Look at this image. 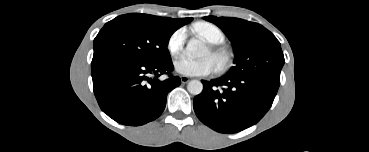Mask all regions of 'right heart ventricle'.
I'll return each mask as SVG.
<instances>
[{
  "label": "right heart ventricle",
  "instance_id": "obj_1",
  "mask_svg": "<svg viewBox=\"0 0 369 152\" xmlns=\"http://www.w3.org/2000/svg\"><path fill=\"white\" fill-rule=\"evenodd\" d=\"M195 32L210 43L216 44L223 40L221 30L212 23L200 22L194 26Z\"/></svg>",
  "mask_w": 369,
  "mask_h": 152
}]
</instances>
